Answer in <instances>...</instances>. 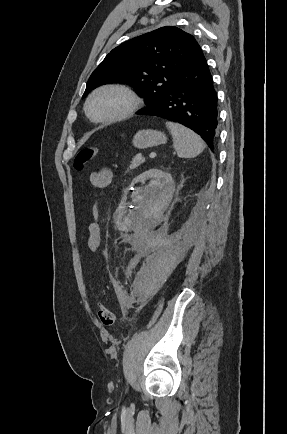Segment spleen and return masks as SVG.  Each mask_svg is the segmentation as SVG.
<instances>
[{
	"label": "spleen",
	"instance_id": "obj_1",
	"mask_svg": "<svg viewBox=\"0 0 287 434\" xmlns=\"http://www.w3.org/2000/svg\"><path fill=\"white\" fill-rule=\"evenodd\" d=\"M166 127L171 132L173 146L178 157L193 158L205 149V143L201 137L190 129L173 122H167Z\"/></svg>",
	"mask_w": 287,
	"mask_h": 434
}]
</instances>
